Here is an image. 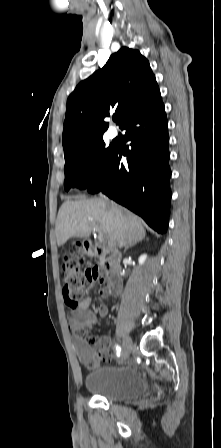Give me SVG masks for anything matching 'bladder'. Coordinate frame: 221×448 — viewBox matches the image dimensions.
<instances>
[{
  "label": "bladder",
  "mask_w": 221,
  "mask_h": 448,
  "mask_svg": "<svg viewBox=\"0 0 221 448\" xmlns=\"http://www.w3.org/2000/svg\"><path fill=\"white\" fill-rule=\"evenodd\" d=\"M83 382L90 393L108 401H130L148 392L142 375L129 367L103 368L87 375Z\"/></svg>",
  "instance_id": "1"
}]
</instances>
